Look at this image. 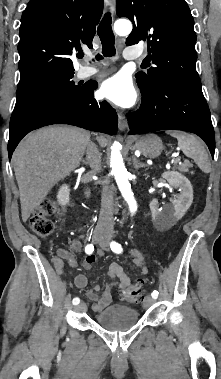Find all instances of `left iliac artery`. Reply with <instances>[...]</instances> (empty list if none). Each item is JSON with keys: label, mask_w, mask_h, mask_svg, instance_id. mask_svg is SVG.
Returning <instances> with one entry per match:
<instances>
[{"label": "left iliac artery", "mask_w": 221, "mask_h": 379, "mask_svg": "<svg viewBox=\"0 0 221 379\" xmlns=\"http://www.w3.org/2000/svg\"><path fill=\"white\" fill-rule=\"evenodd\" d=\"M110 247H111V250L113 252H115V253H122V251H123L122 246L119 243L115 242V241H112L110 243ZM158 294H159L158 291L154 290L151 293V296H152V298L156 299L158 297Z\"/></svg>", "instance_id": "left-iliac-artery-1"}]
</instances>
